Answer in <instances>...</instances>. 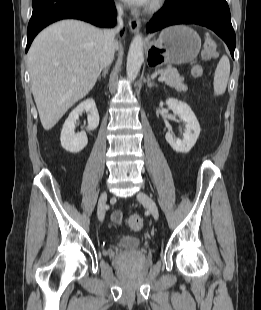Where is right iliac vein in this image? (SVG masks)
I'll return each mask as SVG.
<instances>
[{
	"label": "right iliac vein",
	"instance_id": "obj_1",
	"mask_svg": "<svg viewBox=\"0 0 261 310\" xmlns=\"http://www.w3.org/2000/svg\"><path fill=\"white\" fill-rule=\"evenodd\" d=\"M106 201H107V192L104 191L100 195L97 206V214L101 222L104 220L105 217Z\"/></svg>",
	"mask_w": 261,
	"mask_h": 310
}]
</instances>
